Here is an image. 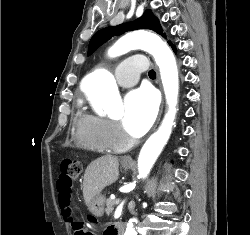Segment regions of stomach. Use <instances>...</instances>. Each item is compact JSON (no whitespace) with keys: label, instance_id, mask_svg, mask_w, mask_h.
I'll return each instance as SVG.
<instances>
[{"label":"stomach","instance_id":"stomach-1","mask_svg":"<svg viewBox=\"0 0 250 235\" xmlns=\"http://www.w3.org/2000/svg\"><path fill=\"white\" fill-rule=\"evenodd\" d=\"M123 168L130 169L131 164H122ZM105 197L104 195L97 194L90 202L89 210L97 217H101L104 214Z\"/></svg>","mask_w":250,"mask_h":235}]
</instances>
